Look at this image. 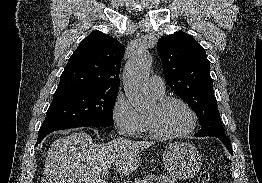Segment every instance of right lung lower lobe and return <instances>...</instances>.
Segmentation results:
<instances>
[{
  "label": "right lung lower lobe",
  "instance_id": "obj_1",
  "mask_svg": "<svg viewBox=\"0 0 262 183\" xmlns=\"http://www.w3.org/2000/svg\"><path fill=\"white\" fill-rule=\"evenodd\" d=\"M75 127H94V128H103L99 126H92L90 124L86 123H77V124H55V125H49V126H42L39 130L38 134V140L36 145H38L45 136H47L49 133L56 131V130H63V129H69V128H75Z\"/></svg>",
  "mask_w": 262,
  "mask_h": 183
}]
</instances>
